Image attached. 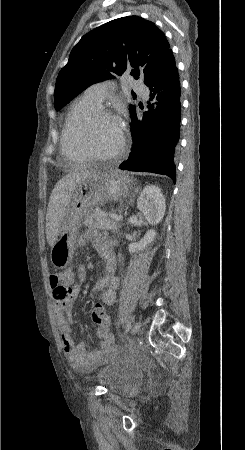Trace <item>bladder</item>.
Masks as SVG:
<instances>
[{
    "label": "bladder",
    "mask_w": 245,
    "mask_h": 450,
    "mask_svg": "<svg viewBox=\"0 0 245 450\" xmlns=\"http://www.w3.org/2000/svg\"><path fill=\"white\" fill-rule=\"evenodd\" d=\"M94 379L107 390L127 396L129 390L138 384L139 373L133 365L121 360L99 367L94 373Z\"/></svg>",
    "instance_id": "1"
}]
</instances>
